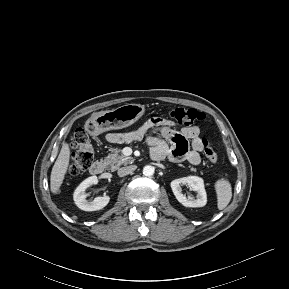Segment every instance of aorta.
I'll use <instances>...</instances> for the list:
<instances>
[{
	"instance_id": "1",
	"label": "aorta",
	"mask_w": 289,
	"mask_h": 289,
	"mask_svg": "<svg viewBox=\"0 0 289 289\" xmlns=\"http://www.w3.org/2000/svg\"><path fill=\"white\" fill-rule=\"evenodd\" d=\"M143 174L148 177L152 176L154 174V167L150 165L145 166L143 168Z\"/></svg>"
}]
</instances>
